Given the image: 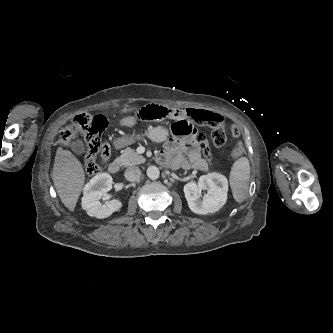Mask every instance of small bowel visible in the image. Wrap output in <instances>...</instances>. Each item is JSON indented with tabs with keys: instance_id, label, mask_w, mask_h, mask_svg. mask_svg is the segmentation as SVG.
Returning <instances> with one entry per match:
<instances>
[{
	"instance_id": "obj_1",
	"label": "small bowel",
	"mask_w": 333,
	"mask_h": 333,
	"mask_svg": "<svg viewBox=\"0 0 333 333\" xmlns=\"http://www.w3.org/2000/svg\"><path fill=\"white\" fill-rule=\"evenodd\" d=\"M207 115V118L199 119L201 122L220 123L221 126H227L228 120L216 112L208 110H192ZM138 121H129L128 119L118 122L119 127L122 124L134 125ZM159 163L172 167L183 169H197L204 171L208 168L207 162L201 156V148L197 141L191 136L185 138L172 137L164 145V149L157 156Z\"/></svg>"
}]
</instances>
